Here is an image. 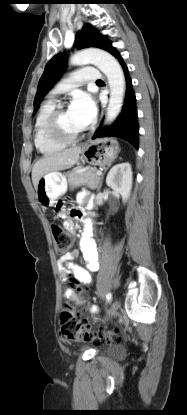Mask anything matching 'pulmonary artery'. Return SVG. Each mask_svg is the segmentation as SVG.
<instances>
[{
  "instance_id": "pulmonary-artery-1",
  "label": "pulmonary artery",
  "mask_w": 187,
  "mask_h": 415,
  "mask_svg": "<svg viewBox=\"0 0 187 415\" xmlns=\"http://www.w3.org/2000/svg\"><path fill=\"white\" fill-rule=\"evenodd\" d=\"M101 73L92 66L75 71L70 78L61 83L52 93H59L81 85L83 82H96L100 80Z\"/></svg>"
}]
</instances>
